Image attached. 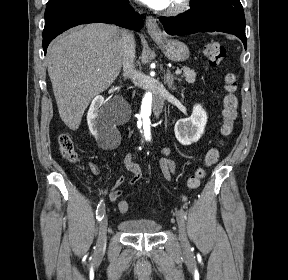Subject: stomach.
I'll return each instance as SVG.
<instances>
[{
	"label": "stomach",
	"mask_w": 288,
	"mask_h": 280,
	"mask_svg": "<svg viewBox=\"0 0 288 280\" xmlns=\"http://www.w3.org/2000/svg\"><path fill=\"white\" fill-rule=\"evenodd\" d=\"M153 39L168 59L180 62L189 58L190 51L185 43L176 39Z\"/></svg>",
	"instance_id": "stomach-1"
}]
</instances>
